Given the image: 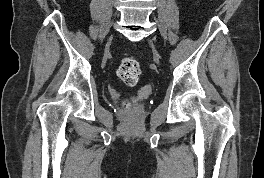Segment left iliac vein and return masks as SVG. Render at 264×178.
<instances>
[{"instance_id":"left-iliac-vein-1","label":"left iliac vein","mask_w":264,"mask_h":178,"mask_svg":"<svg viewBox=\"0 0 264 178\" xmlns=\"http://www.w3.org/2000/svg\"><path fill=\"white\" fill-rule=\"evenodd\" d=\"M150 46L152 47V49H153V52H154V55L156 56V57H158V54H157V51H156V49H155V46H154V43H153V41H151L150 40Z\"/></svg>"}]
</instances>
